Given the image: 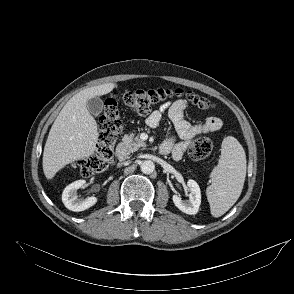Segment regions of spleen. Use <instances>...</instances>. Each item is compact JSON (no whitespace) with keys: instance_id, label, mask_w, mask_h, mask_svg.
<instances>
[{"instance_id":"spleen-1","label":"spleen","mask_w":294,"mask_h":294,"mask_svg":"<svg viewBox=\"0 0 294 294\" xmlns=\"http://www.w3.org/2000/svg\"><path fill=\"white\" fill-rule=\"evenodd\" d=\"M218 165L211 173L212 184L207 188L211 214L220 217L238 200L246 176V155L239 141L228 136L221 145Z\"/></svg>"}]
</instances>
